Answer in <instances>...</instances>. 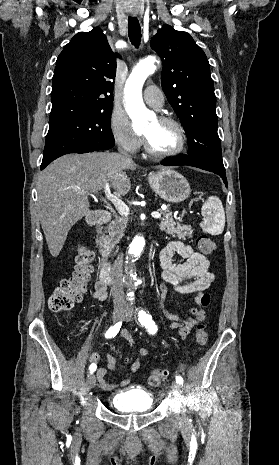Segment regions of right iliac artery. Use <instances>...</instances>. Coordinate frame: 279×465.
I'll use <instances>...</instances> for the list:
<instances>
[{
	"instance_id": "1",
	"label": "right iliac artery",
	"mask_w": 279,
	"mask_h": 465,
	"mask_svg": "<svg viewBox=\"0 0 279 465\" xmlns=\"http://www.w3.org/2000/svg\"><path fill=\"white\" fill-rule=\"evenodd\" d=\"M121 324H122L121 322H118V323L112 325L107 330V332L105 334V337L106 338L115 337L117 335V333L119 332V330H120ZM89 370H90L91 373L94 372L96 370V365L95 364L90 365Z\"/></svg>"
}]
</instances>
